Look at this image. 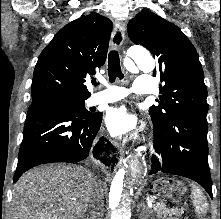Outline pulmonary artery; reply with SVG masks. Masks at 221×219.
Returning a JSON list of instances; mask_svg holds the SVG:
<instances>
[{
	"label": "pulmonary artery",
	"mask_w": 221,
	"mask_h": 219,
	"mask_svg": "<svg viewBox=\"0 0 221 219\" xmlns=\"http://www.w3.org/2000/svg\"><path fill=\"white\" fill-rule=\"evenodd\" d=\"M104 90L94 93L90 98L92 105L110 103L127 97L130 92L122 87L115 86L109 82L102 81ZM156 83L151 75L142 74L137 76L132 91L138 94H152L155 92Z\"/></svg>",
	"instance_id": "obj_1"
}]
</instances>
